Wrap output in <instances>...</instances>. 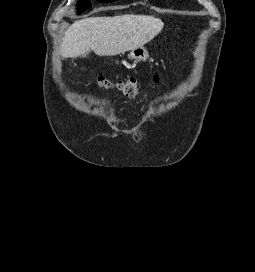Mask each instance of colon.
<instances>
[{"mask_svg": "<svg viewBox=\"0 0 255 272\" xmlns=\"http://www.w3.org/2000/svg\"><path fill=\"white\" fill-rule=\"evenodd\" d=\"M155 83H158L160 77L155 75L153 78ZM98 83L104 88H116L128 98H135L140 93V87L134 78H122L112 81L106 77L100 76Z\"/></svg>", "mask_w": 255, "mask_h": 272, "instance_id": "obj_1", "label": "colon"}]
</instances>
